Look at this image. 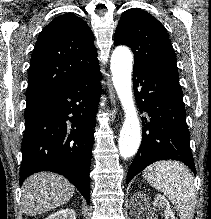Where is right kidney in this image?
<instances>
[{
  "instance_id": "right-kidney-1",
  "label": "right kidney",
  "mask_w": 211,
  "mask_h": 219,
  "mask_svg": "<svg viewBox=\"0 0 211 219\" xmlns=\"http://www.w3.org/2000/svg\"><path fill=\"white\" fill-rule=\"evenodd\" d=\"M45 219H76V213L71 208L61 209Z\"/></svg>"
}]
</instances>
